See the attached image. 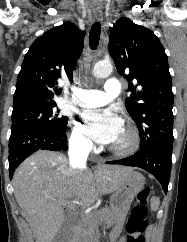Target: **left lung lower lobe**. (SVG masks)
<instances>
[{
  "label": "left lung lower lobe",
  "instance_id": "obj_1",
  "mask_svg": "<svg viewBox=\"0 0 187 242\" xmlns=\"http://www.w3.org/2000/svg\"><path fill=\"white\" fill-rule=\"evenodd\" d=\"M172 148L173 144L160 145L147 150H139L128 158L106 163L144 169L156 177L162 185L164 192L167 193L172 165Z\"/></svg>",
  "mask_w": 187,
  "mask_h": 242
}]
</instances>
